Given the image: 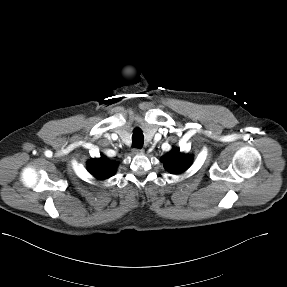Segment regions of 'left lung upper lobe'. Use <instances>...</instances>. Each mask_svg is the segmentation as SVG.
I'll return each mask as SVG.
<instances>
[{
  "instance_id": "left-lung-upper-lobe-1",
  "label": "left lung upper lobe",
  "mask_w": 287,
  "mask_h": 287,
  "mask_svg": "<svg viewBox=\"0 0 287 287\" xmlns=\"http://www.w3.org/2000/svg\"><path fill=\"white\" fill-rule=\"evenodd\" d=\"M161 161L170 173L180 174L189 168L192 163V157L181 153L178 148H174Z\"/></svg>"
}]
</instances>
